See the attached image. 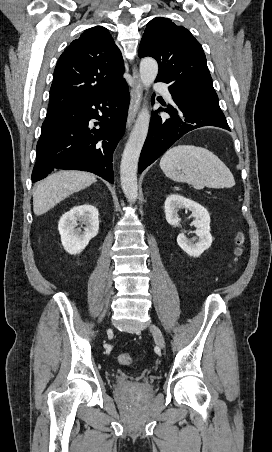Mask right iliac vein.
Listing matches in <instances>:
<instances>
[{
  "mask_svg": "<svg viewBox=\"0 0 272 452\" xmlns=\"http://www.w3.org/2000/svg\"><path fill=\"white\" fill-rule=\"evenodd\" d=\"M111 332H112V330L110 329V330H109V333H111Z\"/></svg>",
  "mask_w": 272,
  "mask_h": 452,
  "instance_id": "obj_1",
  "label": "right iliac vein"
}]
</instances>
